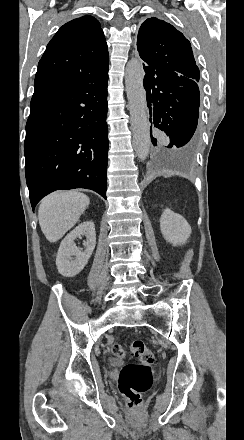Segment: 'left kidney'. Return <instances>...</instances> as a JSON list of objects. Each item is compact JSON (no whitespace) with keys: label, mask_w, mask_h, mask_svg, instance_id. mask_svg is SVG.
<instances>
[{"label":"left kidney","mask_w":244,"mask_h":440,"mask_svg":"<svg viewBox=\"0 0 244 440\" xmlns=\"http://www.w3.org/2000/svg\"><path fill=\"white\" fill-rule=\"evenodd\" d=\"M160 230L163 234V238L173 244V246H182L186 244L190 234L192 232L191 226L186 222L183 216L175 214L169 208L163 210V214L160 218Z\"/></svg>","instance_id":"left-kidney-1"}]
</instances>
